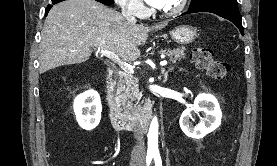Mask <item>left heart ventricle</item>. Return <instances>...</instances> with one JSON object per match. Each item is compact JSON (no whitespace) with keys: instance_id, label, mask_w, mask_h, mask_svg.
I'll return each instance as SVG.
<instances>
[{"instance_id":"obj_1","label":"left heart ventricle","mask_w":277,"mask_h":166,"mask_svg":"<svg viewBox=\"0 0 277 166\" xmlns=\"http://www.w3.org/2000/svg\"><path fill=\"white\" fill-rule=\"evenodd\" d=\"M179 0H165L164 5L160 8L161 10H169L173 8Z\"/></svg>"}]
</instances>
